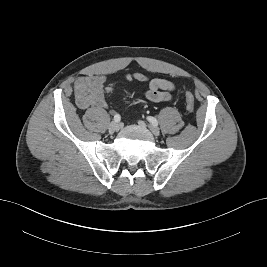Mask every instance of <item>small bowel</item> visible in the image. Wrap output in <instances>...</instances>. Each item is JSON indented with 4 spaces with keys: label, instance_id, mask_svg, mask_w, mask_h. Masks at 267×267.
I'll use <instances>...</instances> for the list:
<instances>
[{
    "label": "small bowel",
    "instance_id": "small-bowel-1",
    "mask_svg": "<svg viewBox=\"0 0 267 267\" xmlns=\"http://www.w3.org/2000/svg\"><path fill=\"white\" fill-rule=\"evenodd\" d=\"M128 81L137 80L148 82V90L145 97L152 102H166L172 98L175 86L168 80L155 78L149 79L146 75L136 72L126 76ZM107 84V76L92 74L79 77L74 83L75 102L79 109L89 107L103 109L107 107L104 89Z\"/></svg>",
    "mask_w": 267,
    "mask_h": 267
}]
</instances>
